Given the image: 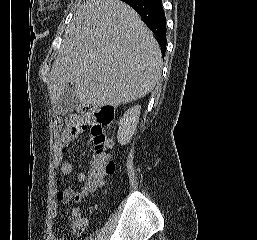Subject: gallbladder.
<instances>
[{
	"mask_svg": "<svg viewBox=\"0 0 257 240\" xmlns=\"http://www.w3.org/2000/svg\"><path fill=\"white\" fill-rule=\"evenodd\" d=\"M79 105V99L76 95V88L73 84H68L64 96L53 104L54 112L58 115H69Z\"/></svg>",
	"mask_w": 257,
	"mask_h": 240,
	"instance_id": "gallbladder-1",
	"label": "gallbladder"
}]
</instances>
